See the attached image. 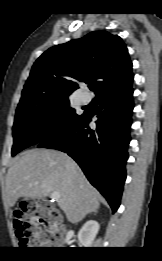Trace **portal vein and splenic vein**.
Instances as JSON below:
<instances>
[{
  "label": "portal vein and splenic vein",
  "instance_id": "obj_1",
  "mask_svg": "<svg viewBox=\"0 0 162 261\" xmlns=\"http://www.w3.org/2000/svg\"><path fill=\"white\" fill-rule=\"evenodd\" d=\"M51 197L54 200L58 201L60 199V193L59 192H53V193H51Z\"/></svg>",
  "mask_w": 162,
  "mask_h": 261
}]
</instances>
